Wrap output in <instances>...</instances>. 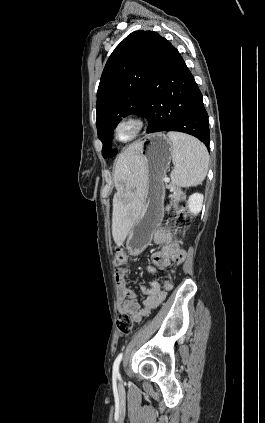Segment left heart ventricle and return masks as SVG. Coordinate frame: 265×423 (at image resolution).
<instances>
[{
    "label": "left heart ventricle",
    "mask_w": 265,
    "mask_h": 423,
    "mask_svg": "<svg viewBox=\"0 0 265 423\" xmlns=\"http://www.w3.org/2000/svg\"><path fill=\"white\" fill-rule=\"evenodd\" d=\"M130 133V129L124 128L121 130V137H127Z\"/></svg>",
    "instance_id": "1"
}]
</instances>
